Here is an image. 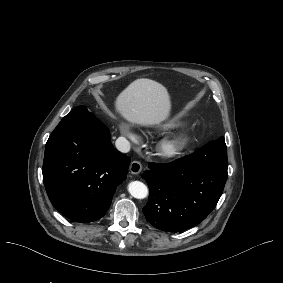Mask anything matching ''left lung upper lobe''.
I'll use <instances>...</instances> for the list:
<instances>
[{
  "mask_svg": "<svg viewBox=\"0 0 283 283\" xmlns=\"http://www.w3.org/2000/svg\"><path fill=\"white\" fill-rule=\"evenodd\" d=\"M219 139H220V140H224V137H220Z\"/></svg>",
  "mask_w": 283,
  "mask_h": 283,
  "instance_id": "1",
  "label": "left lung upper lobe"
}]
</instances>
